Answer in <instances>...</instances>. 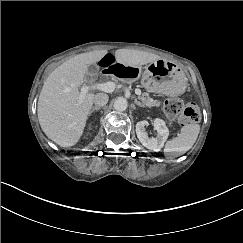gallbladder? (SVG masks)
<instances>
[{
	"mask_svg": "<svg viewBox=\"0 0 243 243\" xmlns=\"http://www.w3.org/2000/svg\"><path fill=\"white\" fill-rule=\"evenodd\" d=\"M99 72V66L97 64H91L87 68V74L94 76Z\"/></svg>",
	"mask_w": 243,
	"mask_h": 243,
	"instance_id": "gallbladder-1",
	"label": "gallbladder"
}]
</instances>
